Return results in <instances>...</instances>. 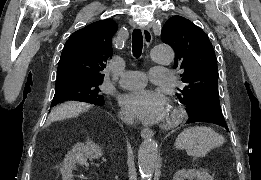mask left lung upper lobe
Masks as SVG:
<instances>
[{
	"label": "left lung upper lobe",
	"mask_w": 261,
	"mask_h": 180,
	"mask_svg": "<svg viewBox=\"0 0 261 180\" xmlns=\"http://www.w3.org/2000/svg\"><path fill=\"white\" fill-rule=\"evenodd\" d=\"M162 41L175 51L174 68L185 84L177 97L189 115H221L217 59L206 33L190 20L173 16L162 28Z\"/></svg>",
	"instance_id": "5c2ea615"
}]
</instances>
